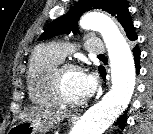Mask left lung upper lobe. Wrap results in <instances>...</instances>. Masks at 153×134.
<instances>
[{"instance_id": "obj_1", "label": "left lung upper lobe", "mask_w": 153, "mask_h": 134, "mask_svg": "<svg viewBox=\"0 0 153 134\" xmlns=\"http://www.w3.org/2000/svg\"><path fill=\"white\" fill-rule=\"evenodd\" d=\"M92 9H102L112 14L123 26L128 39L131 41L137 39L133 21L125 2L119 0H81L66 15L53 20L38 38V41L50 39L59 34L69 33L70 31L76 33L77 22L80 16Z\"/></svg>"}]
</instances>
